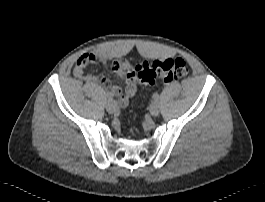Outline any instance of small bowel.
<instances>
[{
	"label": "small bowel",
	"mask_w": 265,
	"mask_h": 202,
	"mask_svg": "<svg viewBox=\"0 0 265 202\" xmlns=\"http://www.w3.org/2000/svg\"><path fill=\"white\" fill-rule=\"evenodd\" d=\"M108 63L106 56L102 52H86L82 54L75 65V76L86 80L90 84H99L104 87L111 97L117 98L120 105L124 106L129 99L137 92L135 77L132 75L133 67L126 59H114L110 62V67L126 82L125 89L112 85L104 76L86 73L85 69L90 65H106Z\"/></svg>",
	"instance_id": "obj_1"
}]
</instances>
